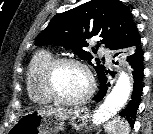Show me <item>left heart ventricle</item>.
<instances>
[{
    "label": "left heart ventricle",
    "instance_id": "1",
    "mask_svg": "<svg viewBox=\"0 0 153 134\" xmlns=\"http://www.w3.org/2000/svg\"><path fill=\"white\" fill-rule=\"evenodd\" d=\"M54 86L58 94L62 97L77 99L86 93L88 80L80 68L72 65H64L58 68L55 73Z\"/></svg>",
    "mask_w": 153,
    "mask_h": 134
}]
</instances>
